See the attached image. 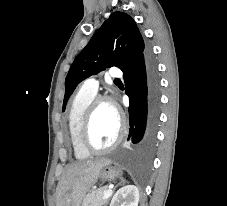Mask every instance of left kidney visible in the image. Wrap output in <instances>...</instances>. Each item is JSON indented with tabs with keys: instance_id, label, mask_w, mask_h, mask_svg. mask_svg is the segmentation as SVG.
I'll return each mask as SVG.
<instances>
[{
	"instance_id": "obj_1",
	"label": "left kidney",
	"mask_w": 227,
	"mask_h": 206,
	"mask_svg": "<svg viewBox=\"0 0 227 206\" xmlns=\"http://www.w3.org/2000/svg\"><path fill=\"white\" fill-rule=\"evenodd\" d=\"M138 202V188L135 185H126L114 194L110 206H138Z\"/></svg>"
}]
</instances>
